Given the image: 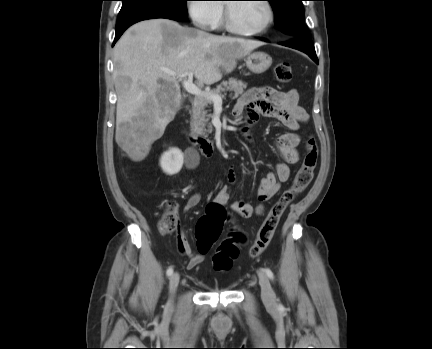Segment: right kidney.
Returning a JSON list of instances; mask_svg holds the SVG:
<instances>
[{
  "label": "right kidney",
  "instance_id": "obj_1",
  "mask_svg": "<svg viewBox=\"0 0 432 349\" xmlns=\"http://www.w3.org/2000/svg\"><path fill=\"white\" fill-rule=\"evenodd\" d=\"M184 162V156L179 148H171L164 152L160 158V166L168 175L177 174Z\"/></svg>",
  "mask_w": 432,
  "mask_h": 349
}]
</instances>
